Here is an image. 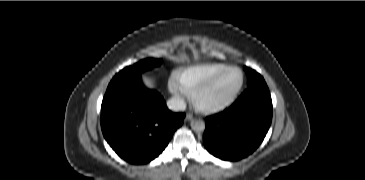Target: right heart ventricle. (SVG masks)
<instances>
[{"mask_svg":"<svg viewBox=\"0 0 365 180\" xmlns=\"http://www.w3.org/2000/svg\"><path fill=\"white\" fill-rule=\"evenodd\" d=\"M227 66L228 65L224 63H203L192 65L179 70L176 73V78L183 91L186 94L191 95L197 87Z\"/></svg>","mask_w":365,"mask_h":180,"instance_id":"e07e8e85","label":"right heart ventricle"}]
</instances>
